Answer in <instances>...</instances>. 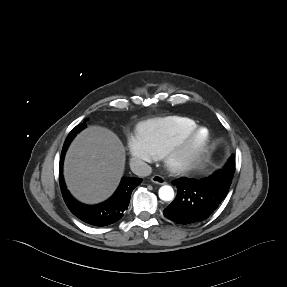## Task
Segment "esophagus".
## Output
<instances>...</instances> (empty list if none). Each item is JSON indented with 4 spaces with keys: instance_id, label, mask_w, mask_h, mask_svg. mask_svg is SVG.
I'll use <instances>...</instances> for the list:
<instances>
[{
    "instance_id": "esophagus-1",
    "label": "esophagus",
    "mask_w": 287,
    "mask_h": 287,
    "mask_svg": "<svg viewBox=\"0 0 287 287\" xmlns=\"http://www.w3.org/2000/svg\"><path fill=\"white\" fill-rule=\"evenodd\" d=\"M151 181L155 184H159V185H163L166 183V181L164 180V178L160 175H154L151 177Z\"/></svg>"
}]
</instances>
